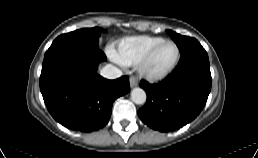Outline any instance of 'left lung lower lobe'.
<instances>
[{
    "instance_id": "1",
    "label": "left lung lower lobe",
    "mask_w": 258,
    "mask_h": 158,
    "mask_svg": "<svg viewBox=\"0 0 258 158\" xmlns=\"http://www.w3.org/2000/svg\"><path fill=\"white\" fill-rule=\"evenodd\" d=\"M181 54L178 66L163 81L140 84L147 101L138 115L149 127L161 132L178 129L195 119L211 90L209 59L201 44L196 42Z\"/></svg>"
}]
</instances>
